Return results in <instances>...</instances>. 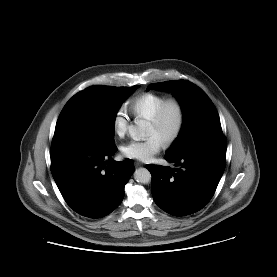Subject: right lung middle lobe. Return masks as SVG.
Segmentation results:
<instances>
[{
    "label": "right lung middle lobe",
    "mask_w": 277,
    "mask_h": 277,
    "mask_svg": "<svg viewBox=\"0 0 277 277\" xmlns=\"http://www.w3.org/2000/svg\"><path fill=\"white\" fill-rule=\"evenodd\" d=\"M138 87L92 86L77 93L60 113L54 137H72L111 148L116 114L122 102Z\"/></svg>",
    "instance_id": "1"
}]
</instances>
